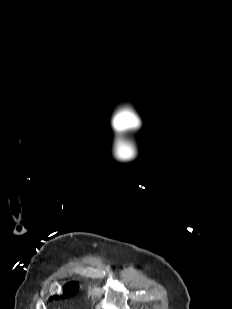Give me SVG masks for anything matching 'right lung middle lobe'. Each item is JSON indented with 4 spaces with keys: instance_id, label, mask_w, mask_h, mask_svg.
<instances>
[{
    "instance_id": "obj_1",
    "label": "right lung middle lobe",
    "mask_w": 232,
    "mask_h": 309,
    "mask_svg": "<svg viewBox=\"0 0 232 309\" xmlns=\"http://www.w3.org/2000/svg\"><path fill=\"white\" fill-rule=\"evenodd\" d=\"M76 291H72L71 289H69L68 287L66 288H64V292H63V297H68V296H71V295H73L74 293H75ZM54 297V296H53Z\"/></svg>"
}]
</instances>
